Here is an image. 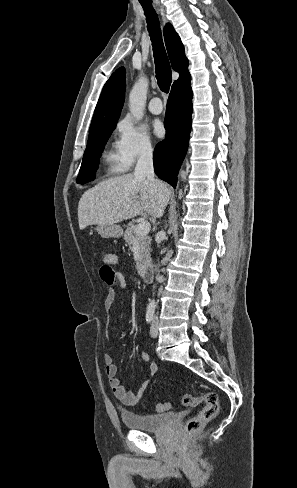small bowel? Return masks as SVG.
I'll return each mask as SVG.
<instances>
[{
    "label": "small bowel",
    "mask_w": 297,
    "mask_h": 488,
    "mask_svg": "<svg viewBox=\"0 0 297 488\" xmlns=\"http://www.w3.org/2000/svg\"><path fill=\"white\" fill-rule=\"evenodd\" d=\"M108 258L111 260L108 263L113 266L117 263V256L114 254H106ZM126 286V279L125 276L119 272L114 271V282L109 285V289L107 291V296L105 300V305L107 309H110L117 298V290L123 289ZM140 358L143 362H149V377H152L156 374L158 366L157 363L150 360V357L147 353H142ZM104 364H105V373L108 378L109 386L113 391L114 395L117 399H119L123 404L127 406H134L136 405L144 395L147 387L149 386L150 379H146L140 386L137 391H130L128 390L122 383L118 376V367L114 362V359L111 354L106 353L104 354Z\"/></svg>",
    "instance_id": "small-bowel-1"
}]
</instances>
